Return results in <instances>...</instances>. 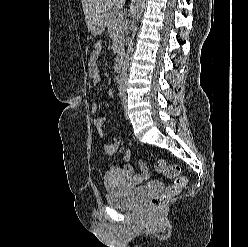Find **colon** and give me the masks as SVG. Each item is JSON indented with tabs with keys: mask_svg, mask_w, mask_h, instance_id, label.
Instances as JSON below:
<instances>
[{
	"mask_svg": "<svg viewBox=\"0 0 248 247\" xmlns=\"http://www.w3.org/2000/svg\"><path fill=\"white\" fill-rule=\"evenodd\" d=\"M99 47H101V42H97L94 46V48ZM139 167L142 175L147 178L149 173L145 163L140 161ZM155 168L157 172L172 180V183L165 189L163 193L155 196L150 201L151 208L157 210L162 208L165 204H167L179 194L181 189H183L188 184V178L181 173L179 166L168 164L163 159L156 161Z\"/></svg>",
	"mask_w": 248,
	"mask_h": 247,
	"instance_id": "obj_1",
	"label": "colon"
}]
</instances>
